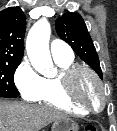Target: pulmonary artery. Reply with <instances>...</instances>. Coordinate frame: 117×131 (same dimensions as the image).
Returning <instances> with one entry per match:
<instances>
[{"instance_id":"1","label":"pulmonary artery","mask_w":117,"mask_h":131,"mask_svg":"<svg viewBox=\"0 0 117 131\" xmlns=\"http://www.w3.org/2000/svg\"><path fill=\"white\" fill-rule=\"evenodd\" d=\"M50 50L54 60L73 58L72 49L62 40H53L50 46Z\"/></svg>"}]
</instances>
